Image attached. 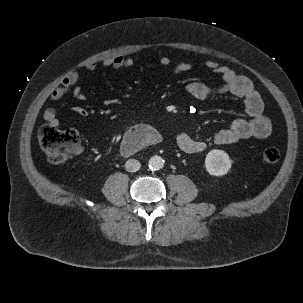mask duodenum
Masks as SVG:
<instances>
[{
	"label": "duodenum",
	"instance_id": "obj_1",
	"mask_svg": "<svg viewBox=\"0 0 303 303\" xmlns=\"http://www.w3.org/2000/svg\"><path fill=\"white\" fill-rule=\"evenodd\" d=\"M160 140V136L154 129L139 126L126 134L121 145V151L125 155H131L147 145L159 143Z\"/></svg>",
	"mask_w": 303,
	"mask_h": 303
}]
</instances>
